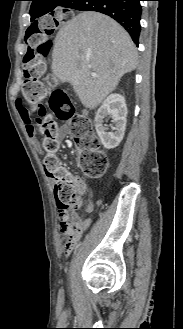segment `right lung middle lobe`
Listing matches in <instances>:
<instances>
[{
  "label": "right lung middle lobe",
  "mask_w": 183,
  "mask_h": 329,
  "mask_svg": "<svg viewBox=\"0 0 183 329\" xmlns=\"http://www.w3.org/2000/svg\"><path fill=\"white\" fill-rule=\"evenodd\" d=\"M54 11V10H53ZM54 13V12H53ZM29 36V34H26V38Z\"/></svg>",
  "instance_id": "obj_1"
}]
</instances>
